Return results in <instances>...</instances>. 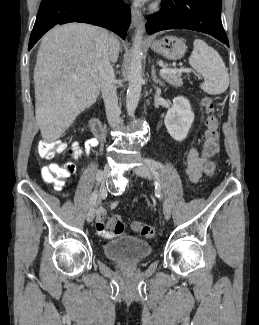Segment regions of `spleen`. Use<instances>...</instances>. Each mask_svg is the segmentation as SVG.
Returning a JSON list of instances; mask_svg holds the SVG:
<instances>
[{"instance_id":"spleen-1","label":"spleen","mask_w":259,"mask_h":325,"mask_svg":"<svg viewBox=\"0 0 259 325\" xmlns=\"http://www.w3.org/2000/svg\"><path fill=\"white\" fill-rule=\"evenodd\" d=\"M189 64L204 77L201 89L211 95L224 93L229 86V74L219 53L205 41L195 39Z\"/></svg>"}]
</instances>
